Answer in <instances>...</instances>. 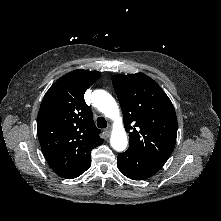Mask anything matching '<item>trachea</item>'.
I'll use <instances>...</instances> for the list:
<instances>
[{
    "label": "trachea",
    "mask_w": 221,
    "mask_h": 221,
    "mask_svg": "<svg viewBox=\"0 0 221 221\" xmlns=\"http://www.w3.org/2000/svg\"><path fill=\"white\" fill-rule=\"evenodd\" d=\"M97 126H98L99 128H106V127H107V121L105 120V118L99 117V118L97 119Z\"/></svg>",
    "instance_id": "1"
}]
</instances>
